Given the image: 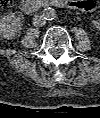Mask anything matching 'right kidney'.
Masks as SVG:
<instances>
[{"label":"right kidney","mask_w":100,"mask_h":118,"mask_svg":"<svg viewBox=\"0 0 100 118\" xmlns=\"http://www.w3.org/2000/svg\"><path fill=\"white\" fill-rule=\"evenodd\" d=\"M20 24L17 19H13L11 16L7 17L1 23V35L4 38H11L14 36L19 30Z\"/></svg>","instance_id":"ca27d5eb"}]
</instances>
